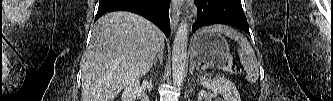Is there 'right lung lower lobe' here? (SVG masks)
<instances>
[{
	"label": "right lung lower lobe",
	"instance_id": "1",
	"mask_svg": "<svg viewBox=\"0 0 333 101\" xmlns=\"http://www.w3.org/2000/svg\"><path fill=\"white\" fill-rule=\"evenodd\" d=\"M170 0H99L95 21L102 15L113 11H129L142 15L170 35Z\"/></svg>",
	"mask_w": 333,
	"mask_h": 101
}]
</instances>
